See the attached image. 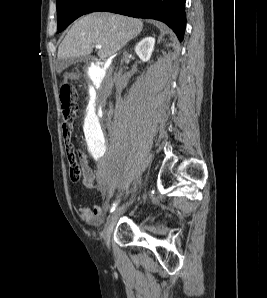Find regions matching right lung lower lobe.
Segmentation results:
<instances>
[{
	"instance_id": "obj_1",
	"label": "right lung lower lobe",
	"mask_w": 267,
	"mask_h": 298,
	"mask_svg": "<svg viewBox=\"0 0 267 298\" xmlns=\"http://www.w3.org/2000/svg\"><path fill=\"white\" fill-rule=\"evenodd\" d=\"M186 0H104L94 11H108L136 18L164 22L183 40L186 26Z\"/></svg>"
}]
</instances>
